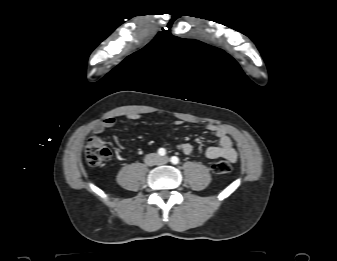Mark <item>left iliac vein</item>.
I'll return each mask as SVG.
<instances>
[{"label":"left iliac vein","instance_id":"4c4485c4","mask_svg":"<svg viewBox=\"0 0 337 261\" xmlns=\"http://www.w3.org/2000/svg\"><path fill=\"white\" fill-rule=\"evenodd\" d=\"M160 162L163 163V164H165V163L169 162V158L167 156L161 157L160 158Z\"/></svg>","mask_w":337,"mask_h":261}]
</instances>
